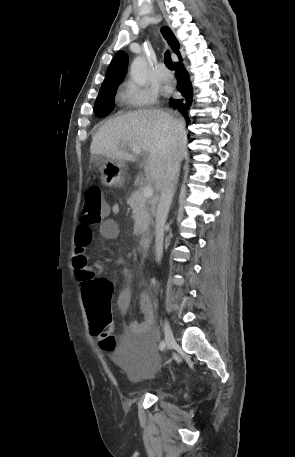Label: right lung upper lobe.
<instances>
[{"instance_id":"obj_1","label":"right lung upper lobe","mask_w":295,"mask_h":457,"mask_svg":"<svg viewBox=\"0 0 295 457\" xmlns=\"http://www.w3.org/2000/svg\"><path fill=\"white\" fill-rule=\"evenodd\" d=\"M161 33L170 45L171 49L179 55V42L173 32L168 27H163ZM128 66V55L124 51H119L111 61L105 80L100 90L116 88L124 79Z\"/></svg>"}]
</instances>
